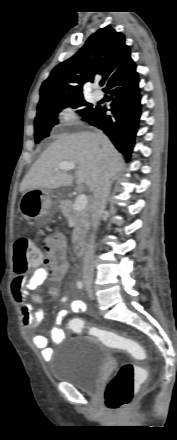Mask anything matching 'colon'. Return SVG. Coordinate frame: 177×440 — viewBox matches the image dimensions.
<instances>
[{
	"label": "colon",
	"mask_w": 177,
	"mask_h": 440,
	"mask_svg": "<svg viewBox=\"0 0 177 440\" xmlns=\"http://www.w3.org/2000/svg\"><path fill=\"white\" fill-rule=\"evenodd\" d=\"M43 258L42 251L30 238L21 237L15 242L14 271L16 273H24L30 267L41 263ZM67 327L75 333L87 331L106 346L127 351L138 360H143L146 357L143 347L134 340L115 332L102 330L80 318L70 319ZM145 376V371L136 364L125 363L121 365L106 386L104 392L105 405L111 410H121L128 407Z\"/></svg>",
	"instance_id": "obj_1"
}]
</instances>
